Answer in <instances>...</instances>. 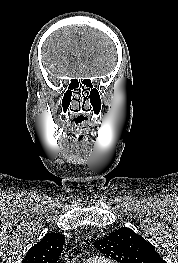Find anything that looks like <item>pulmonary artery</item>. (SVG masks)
I'll return each mask as SVG.
<instances>
[{
    "label": "pulmonary artery",
    "instance_id": "e3ab8cb5",
    "mask_svg": "<svg viewBox=\"0 0 178 263\" xmlns=\"http://www.w3.org/2000/svg\"><path fill=\"white\" fill-rule=\"evenodd\" d=\"M89 260L93 262H109L108 260H106L105 258L101 256H93Z\"/></svg>",
    "mask_w": 178,
    "mask_h": 263
}]
</instances>
